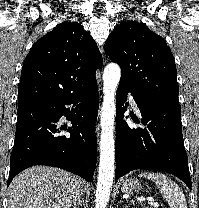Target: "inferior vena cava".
Returning <instances> with one entry per match:
<instances>
[{"instance_id": "1", "label": "inferior vena cava", "mask_w": 199, "mask_h": 208, "mask_svg": "<svg viewBox=\"0 0 199 208\" xmlns=\"http://www.w3.org/2000/svg\"><path fill=\"white\" fill-rule=\"evenodd\" d=\"M74 201H79L80 202V194L76 195L75 198H74Z\"/></svg>"}]
</instances>
